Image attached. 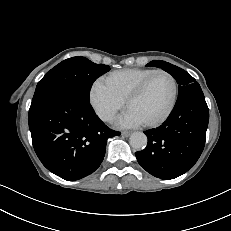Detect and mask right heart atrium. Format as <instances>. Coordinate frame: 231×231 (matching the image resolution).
I'll list each match as a JSON object with an SVG mask.
<instances>
[{"mask_svg":"<svg viewBox=\"0 0 231 231\" xmlns=\"http://www.w3.org/2000/svg\"><path fill=\"white\" fill-rule=\"evenodd\" d=\"M89 101L97 116L104 122H111L124 106V101L117 97L102 81H96L92 85Z\"/></svg>","mask_w":231,"mask_h":231,"instance_id":"right-heart-atrium-1","label":"right heart atrium"}]
</instances>
